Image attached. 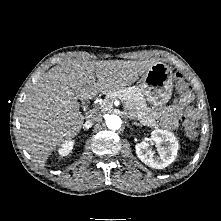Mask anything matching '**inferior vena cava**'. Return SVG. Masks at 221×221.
<instances>
[{"label":"inferior vena cava","mask_w":221,"mask_h":221,"mask_svg":"<svg viewBox=\"0 0 221 221\" xmlns=\"http://www.w3.org/2000/svg\"><path fill=\"white\" fill-rule=\"evenodd\" d=\"M99 120H100V117H99V116L93 115V116H91V117L86 121V124H87V125H92L94 122L99 121Z\"/></svg>","instance_id":"obj_1"}]
</instances>
